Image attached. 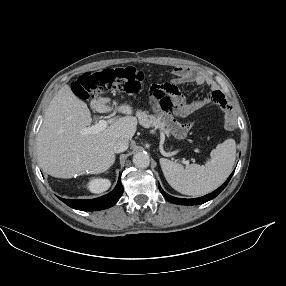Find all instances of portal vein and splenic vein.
<instances>
[{"instance_id": "18ae733b", "label": "portal vein and splenic vein", "mask_w": 286, "mask_h": 286, "mask_svg": "<svg viewBox=\"0 0 286 286\" xmlns=\"http://www.w3.org/2000/svg\"><path fill=\"white\" fill-rule=\"evenodd\" d=\"M113 120L106 121V120H100L98 123L95 125H92L91 127L84 128L82 130V134L88 135V134H97L104 130L107 126L108 123H112ZM188 164V161L185 162Z\"/></svg>"}]
</instances>
